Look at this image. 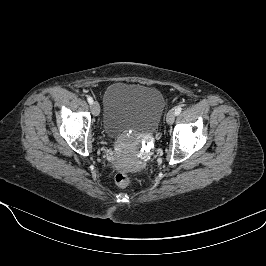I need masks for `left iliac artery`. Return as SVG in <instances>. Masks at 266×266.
I'll return each instance as SVG.
<instances>
[{
    "label": "left iliac artery",
    "mask_w": 266,
    "mask_h": 266,
    "mask_svg": "<svg viewBox=\"0 0 266 266\" xmlns=\"http://www.w3.org/2000/svg\"><path fill=\"white\" fill-rule=\"evenodd\" d=\"M182 111V107L181 106H178L176 109H175V114L176 115H179Z\"/></svg>",
    "instance_id": "obj_1"
}]
</instances>
